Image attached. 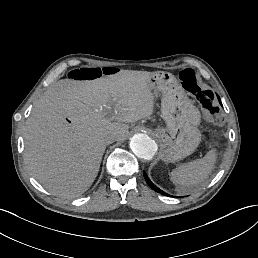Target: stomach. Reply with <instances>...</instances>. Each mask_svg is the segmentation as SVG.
<instances>
[{"label": "stomach", "mask_w": 258, "mask_h": 258, "mask_svg": "<svg viewBox=\"0 0 258 258\" xmlns=\"http://www.w3.org/2000/svg\"><path fill=\"white\" fill-rule=\"evenodd\" d=\"M148 89L162 96L161 114L166 127L156 131L161 160L176 162L191 155L201 142L199 109L169 72H155L148 80Z\"/></svg>", "instance_id": "0dacf381"}]
</instances>
